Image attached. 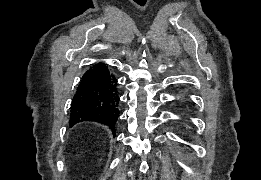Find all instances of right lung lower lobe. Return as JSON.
I'll use <instances>...</instances> for the list:
<instances>
[{
    "mask_svg": "<svg viewBox=\"0 0 261 180\" xmlns=\"http://www.w3.org/2000/svg\"><path fill=\"white\" fill-rule=\"evenodd\" d=\"M118 107L117 80L103 63H97L83 75L76 89L69 123L73 126L83 121H94L108 125L114 134Z\"/></svg>",
    "mask_w": 261,
    "mask_h": 180,
    "instance_id": "1",
    "label": "right lung lower lobe"
}]
</instances>
